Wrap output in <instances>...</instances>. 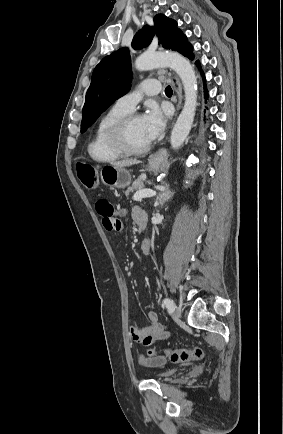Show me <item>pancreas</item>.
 <instances>
[{"label":"pancreas","instance_id":"pancreas-1","mask_svg":"<svg viewBox=\"0 0 283 434\" xmlns=\"http://www.w3.org/2000/svg\"><path fill=\"white\" fill-rule=\"evenodd\" d=\"M143 188H144L143 178L142 177H138V179L135 180L130 187H128V189L125 192V195L128 197L131 192H134L136 190H140V189H143Z\"/></svg>","mask_w":283,"mask_h":434}]
</instances>
